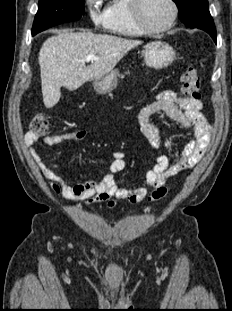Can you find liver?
<instances>
[{"label": "liver", "mask_w": 232, "mask_h": 311, "mask_svg": "<svg viewBox=\"0 0 232 311\" xmlns=\"http://www.w3.org/2000/svg\"><path fill=\"white\" fill-rule=\"evenodd\" d=\"M142 41L91 32H63L48 38L39 52L43 102L52 108L61 97V87L73 91L85 82L109 74L124 55ZM98 61L86 66L85 57Z\"/></svg>", "instance_id": "1"}]
</instances>
